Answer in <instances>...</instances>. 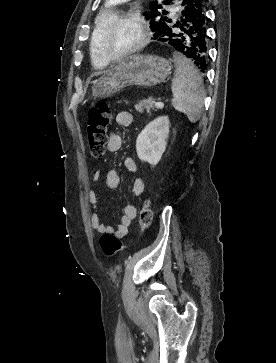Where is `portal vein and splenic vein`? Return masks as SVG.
Returning <instances> with one entry per match:
<instances>
[{
    "label": "portal vein and splenic vein",
    "mask_w": 276,
    "mask_h": 363,
    "mask_svg": "<svg viewBox=\"0 0 276 363\" xmlns=\"http://www.w3.org/2000/svg\"><path fill=\"white\" fill-rule=\"evenodd\" d=\"M157 107H159V108H163L164 107V103L163 102H157L156 104H155Z\"/></svg>",
    "instance_id": "1"
}]
</instances>
